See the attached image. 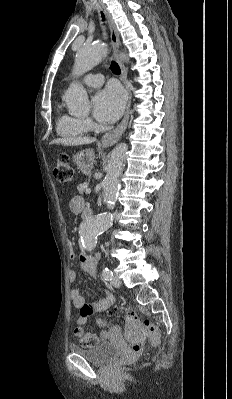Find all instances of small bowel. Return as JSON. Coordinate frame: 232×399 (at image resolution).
Listing matches in <instances>:
<instances>
[{
	"mask_svg": "<svg viewBox=\"0 0 232 399\" xmlns=\"http://www.w3.org/2000/svg\"><path fill=\"white\" fill-rule=\"evenodd\" d=\"M82 206V199L78 195H74L70 200V209L72 211L80 210ZM68 249H69V258L70 259H78L80 262V270L86 271L92 279L96 278V266L95 261L99 259V254H96L94 257L90 256V253L86 250H80L79 252L76 251L75 245L72 241L67 242ZM77 280V275L75 272H71L69 274V283L71 285L75 284ZM105 297L96 302L93 305H88L86 300L83 296L79 294L76 290H71L69 292V298L72 303L74 309L79 312L77 322L80 326H85L87 319L90 314L96 311H102L109 309L113 302L114 296L109 293L108 291H104ZM119 327L117 325H112L109 327L100 328V332L103 335L108 333L118 332Z\"/></svg>",
	"mask_w": 232,
	"mask_h": 399,
	"instance_id": "c3829d8e",
	"label": "small bowel"
}]
</instances>
